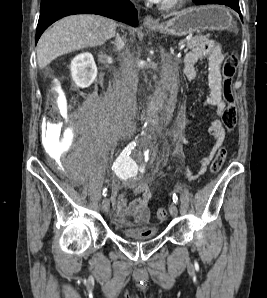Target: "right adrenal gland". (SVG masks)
Masks as SVG:
<instances>
[{"label": "right adrenal gland", "instance_id": "1", "mask_svg": "<svg viewBox=\"0 0 267 298\" xmlns=\"http://www.w3.org/2000/svg\"><path fill=\"white\" fill-rule=\"evenodd\" d=\"M112 45H114L115 51H121L125 46V40L118 33H116L115 41H111Z\"/></svg>", "mask_w": 267, "mask_h": 298}]
</instances>
